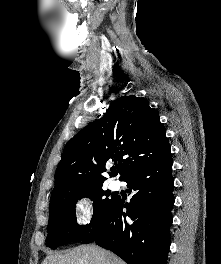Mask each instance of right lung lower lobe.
<instances>
[{"label":"right lung lower lobe","instance_id":"98d812e1","mask_svg":"<svg viewBox=\"0 0 221 264\" xmlns=\"http://www.w3.org/2000/svg\"><path fill=\"white\" fill-rule=\"evenodd\" d=\"M121 181L127 182L132 194L130 203L117 198L82 242H95L127 264H166L174 204L171 154Z\"/></svg>","mask_w":221,"mask_h":264}]
</instances>
